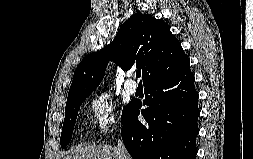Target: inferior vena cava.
<instances>
[{
	"mask_svg": "<svg viewBox=\"0 0 253 159\" xmlns=\"http://www.w3.org/2000/svg\"><path fill=\"white\" fill-rule=\"evenodd\" d=\"M117 150L119 152V159H130V156L128 155L126 148L121 140H118Z\"/></svg>",
	"mask_w": 253,
	"mask_h": 159,
	"instance_id": "inferior-vena-cava-1",
	"label": "inferior vena cava"
}]
</instances>
